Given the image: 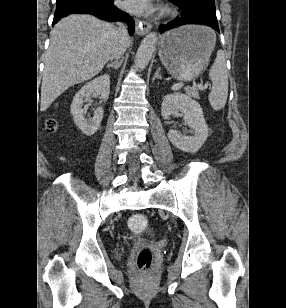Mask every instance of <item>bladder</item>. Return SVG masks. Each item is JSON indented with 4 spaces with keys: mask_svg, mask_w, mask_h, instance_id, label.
Wrapping results in <instances>:
<instances>
[{
    "mask_svg": "<svg viewBox=\"0 0 286 308\" xmlns=\"http://www.w3.org/2000/svg\"><path fill=\"white\" fill-rule=\"evenodd\" d=\"M118 258H121V254H118V256H117Z\"/></svg>",
    "mask_w": 286,
    "mask_h": 308,
    "instance_id": "bladder-1",
    "label": "bladder"
}]
</instances>
